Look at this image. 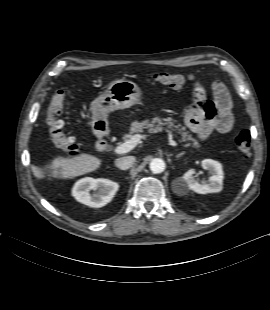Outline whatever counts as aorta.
<instances>
[{
	"instance_id": "1",
	"label": "aorta",
	"mask_w": 270,
	"mask_h": 310,
	"mask_svg": "<svg viewBox=\"0 0 270 310\" xmlns=\"http://www.w3.org/2000/svg\"><path fill=\"white\" fill-rule=\"evenodd\" d=\"M150 170L155 173L159 174L165 170V162L160 158H155L150 162Z\"/></svg>"
}]
</instances>
